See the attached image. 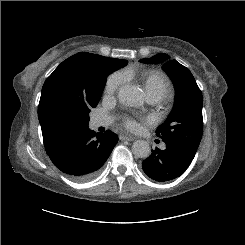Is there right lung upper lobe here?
Instances as JSON below:
<instances>
[{"label": "right lung upper lobe", "instance_id": "obj_1", "mask_svg": "<svg viewBox=\"0 0 245 245\" xmlns=\"http://www.w3.org/2000/svg\"><path fill=\"white\" fill-rule=\"evenodd\" d=\"M96 54L81 52L63 61L45 81L38 106V118L42 129L46 152H50L65 138L78 130L56 125L47 113V97L57 87L63 88L74 99L90 104L95 99L96 82L92 76L89 63ZM124 67L127 60L109 58ZM121 67V68H122Z\"/></svg>", "mask_w": 245, "mask_h": 245}]
</instances>
